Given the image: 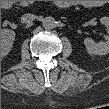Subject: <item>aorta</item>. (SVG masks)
Segmentation results:
<instances>
[{
	"instance_id": "aorta-1",
	"label": "aorta",
	"mask_w": 109,
	"mask_h": 109,
	"mask_svg": "<svg viewBox=\"0 0 109 109\" xmlns=\"http://www.w3.org/2000/svg\"><path fill=\"white\" fill-rule=\"evenodd\" d=\"M42 26L48 30L53 29L56 26V20L51 16H47L43 19Z\"/></svg>"
}]
</instances>
